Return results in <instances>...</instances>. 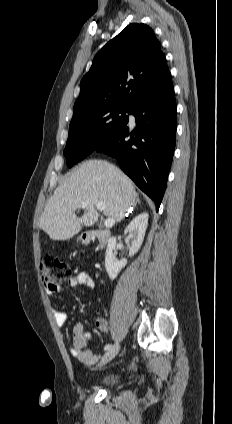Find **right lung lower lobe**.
<instances>
[{
    "label": "right lung lower lobe",
    "instance_id": "1",
    "mask_svg": "<svg viewBox=\"0 0 232 424\" xmlns=\"http://www.w3.org/2000/svg\"><path fill=\"white\" fill-rule=\"evenodd\" d=\"M129 113L136 118V129L131 131L127 123L95 152L116 158L121 169L155 202L158 211L176 140V101L170 72L136 101Z\"/></svg>",
    "mask_w": 232,
    "mask_h": 424
}]
</instances>
